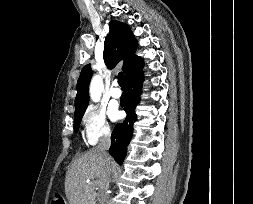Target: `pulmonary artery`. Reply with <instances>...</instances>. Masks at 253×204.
Listing matches in <instances>:
<instances>
[{"instance_id":"e3ab8cb5","label":"pulmonary artery","mask_w":253,"mask_h":204,"mask_svg":"<svg viewBox=\"0 0 253 204\" xmlns=\"http://www.w3.org/2000/svg\"><path fill=\"white\" fill-rule=\"evenodd\" d=\"M111 95H112V97H114V98H119V97L121 96V90H120V88L118 87L117 82L114 83V87H113V89L111 90Z\"/></svg>"}]
</instances>
